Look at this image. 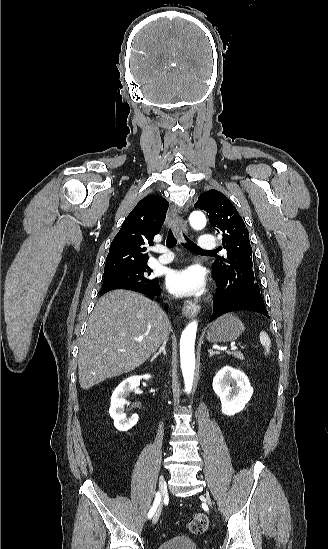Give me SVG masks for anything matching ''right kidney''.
Instances as JSON below:
<instances>
[{
    "label": "right kidney",
    "instance_id": "1",
    "mask_svg": "<svg viewBox=\"0 0 328 549\" xmlns=\"http://www.w3.org/2000/svg\"><path fill=\"white\" fill-rule=\"evenodd\" d=\"M141 379H151V375L128 377L112 393L109 415L114 419V425L118 431H129L138 423V415H132L130 419H127L124 413V405H126L127 395L139 387Z\"/></svg>",
    "mask_w": 328,
    "mask_h": 549
}]
</instances>
